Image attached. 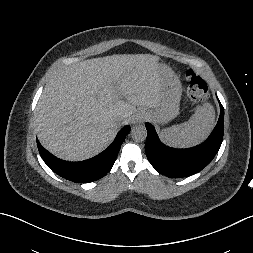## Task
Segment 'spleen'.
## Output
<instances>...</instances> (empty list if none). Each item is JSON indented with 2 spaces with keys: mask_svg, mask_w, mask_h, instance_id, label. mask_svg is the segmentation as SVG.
<instances>
[{
  "mask_svg": "<svg viewBox=\"0 0 253 253\" xmlns=\"http://www.w3.org/2000/svg\"><path fill=\"white\" fill-rule=\"evenodd\" d=\"M214 125V108L210 103H204L197 107L188 121L163 129L160 137L169 146L188 148L205 140Z\"/></svg>",
  "mask_w": 253,
  "mask_h": 253,
  "instance_id": "1",
  "label": "spleen"
}]
</instances>
